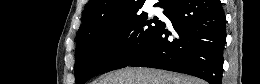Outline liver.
Listing matches in <instances>:
<instances>
[{"instance_id": "6515ba94", "label": "liver", "mask_w": 260, "mask_h": 84, "mask_svg": "<svg viewBox=\"0 0 260 84\" xmlns=\"http://www.w3.org/2000/svg\"><path fill=\"white\" fill-rule=\"evenodd\" d=\"M94 84H206L196 77L151 68L127 67Z\"/></svg>"}]
</instances>
